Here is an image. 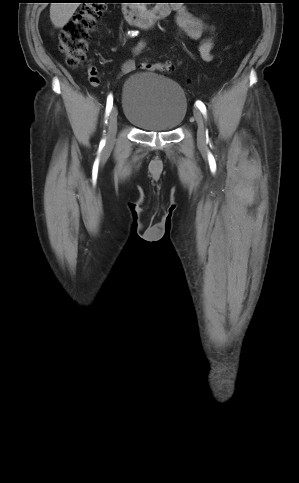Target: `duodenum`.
Instances as JSON below:
<instances>
[{"instance_id": "410a0bca", "label": "duodenum", "mask_w": 299, "mask_h": 483, "mask_svg": "<svg viewBox=\"0 0 299 483\" xmlns=\"http://www.w3.org/2000/svg\"><path fill=\"white\" fill-rule=\"evenodd\" d=\"M170 11V5L165 1H160L154 7L145 8L134 0H126L122 8L125 20L142 28L151 27L155 22L167 17Z\"/></svg>"}]
</instances>
